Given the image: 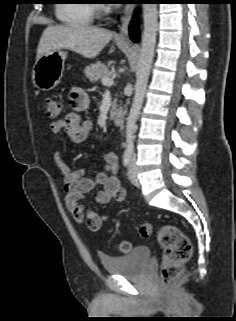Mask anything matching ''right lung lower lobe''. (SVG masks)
Masks as SVG:
<instances>
[{
	"label": "right lung lower lobe",
	"mask_w": 236,
	"mask_h": 321,
	"mask_svg": "<svg viewBox=\"0 0 236 321\" xmlns=\"http://www.w3.org/2000/svg\"><path fill=\"white\" fill-rule=\"evenodd\" d=\"M137 3H143V1H138ZM130 35L133 41H138L139 30H138V17L137 12H135L132 22L130 24Z\"/></svg>",
	"instance_id": "98d812e1"
}]
</instances>
